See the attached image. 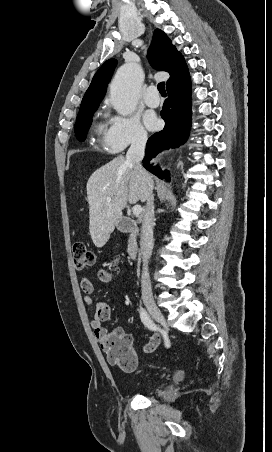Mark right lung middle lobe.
<instances>
[{
  "instance_id": "right-lung-middle-lobe-1",
  "label": "right lung middle lobe",
  "mask_w": 272,
  "mask_h": 452,
  "mask_svg": "<svg viewBox=\"0 0 272 452\" xmlns=\"http://www.w3.org/2000/svg\"><path fill=\"white\" fill-rule=\"evenodd\" d=\"M99 105L81 107L76 119L75 133L79 141H84L92 122V115Z\"/></svg>"
}]
</instances>
